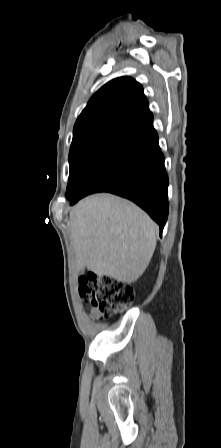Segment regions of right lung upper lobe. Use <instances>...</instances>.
Masks as SVG:
<instances>
[{"label": "right lung upper lobe", "mask_w": 221, "mask_h": 448, "mask_svg": "<svg viewBox=\"0 0 221 448\" xmlns=\"http://www.w3.org/2000/svg\"><path fill=\"white\" fill-rule=\"evenodd\" d=\"M152 120L142 86L130 77L113 79L92 96L78 117L70 150L117 144Z\"/></svg>", "instance_id": "obj_1"}]
</instances>
